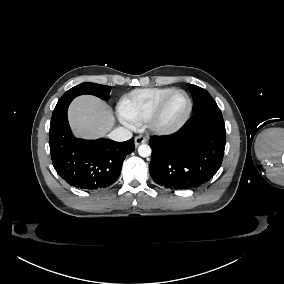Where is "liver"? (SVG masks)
I'll use <instances>...</instances> for the list:
<instances>
[{
  "label": "liver",
  "mask_w": 284,
  "mask_h": 284,
  "mask_svg": "<svg viewBox=\"0 0 284 284\" xmlns=\"http://www.w3.org/2000/svg\"><path fill=\"white\" fill-rule=\"evenodd\" d=\"M69 118L76 132L85 137L103 136L113 121L110 109L91 96L77 98L70 107Z\"/></svg>",
  "instance_id": "liver-1"
}]
</instances>
